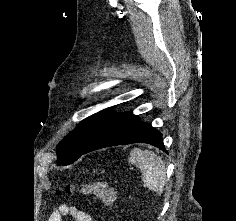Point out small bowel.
Returning <instances> with one entry per match:
<instances>
[{
	"label": "small bowel",
	"mask_w": 236,
	"mask_h": 221,
	"mask_svg": "<svg viewBox=\"0 0 236 221\" xmlns=\"http://www.w3.org/2000/svg\"><path fill=\"white\" fill-rule=\"evenodd\" d=\"M65 215H71L74 221H95L89 212L66 204L59 205L50 215L48 221H62V217Z\"/></svg>",
	"instance_id": "1"
}]
</instances>
